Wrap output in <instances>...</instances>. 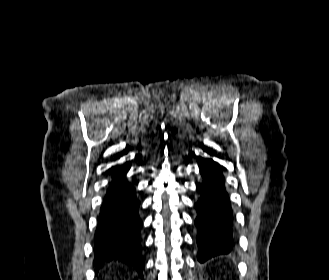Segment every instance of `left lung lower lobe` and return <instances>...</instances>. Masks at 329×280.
<instances>
[{"instance_id":"1","label":"left lung lower lobe","mask_w":329,"mask_h":280,"mask_svg":"<svg viewBox=\"0 0 329 280\" xmlns=\"http://www.w3.org/2000/svg\"><path fill=\"white\" fill-rule=\"evenodd\" d=\"M200 173L203 181L197 185L201 197L195 204L198 213L195 225L198 229V260L205 262L231 251L233 217L218 164L206 159Z\"/></svg>"}]
</instances>
